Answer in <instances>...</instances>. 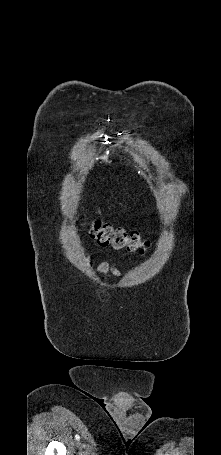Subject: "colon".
I'll return each mask as SVG.
<instances>
[{
	"instance_id": "colon-1",
	"label": "colon",
	"mask_w": 221,
	"mask_h": 455,
	"mask_svg": "<svg viewBox=\"0 0 221 455\" xmlns=\"http://www.w3.org/2000/svg\"><path fill=\"white\" fill-rule=\"evenodd\" d=\"M89 235L103 247L125 249L130 252L144 253L147 244L143 242L136 231H127L116 228L100 221H94L86 225Z\"/></svg>"
}]
</instances>
